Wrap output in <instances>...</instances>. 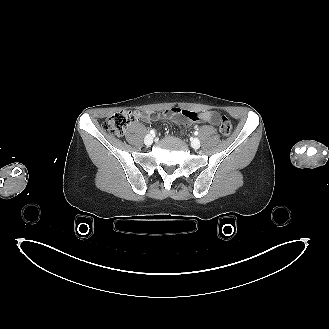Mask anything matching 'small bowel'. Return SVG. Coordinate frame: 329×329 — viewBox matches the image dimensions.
Segmentation results:
<instances>
[{
	"label": "small bowel",
	"instance_id": "obj_1",
	"mask_svg": "<svg viewBox=\"0 0 329 329\" xmlns=\"http://www.w3.org/2000/svg\"><path fill=\"white\" fill-rule=\"evenodd\" d=\"M137 118L143 121H149L150 116L146 113L137 112ZM161 117L168 119L178 125L179 127H189L195 123L206 122L212 125L217 124V116L213 111H204L196 113L178 107H173L161 113Z\"/></svg>",
	"mask_w": 329,
	"mask_h": 329
}]
</instances>
